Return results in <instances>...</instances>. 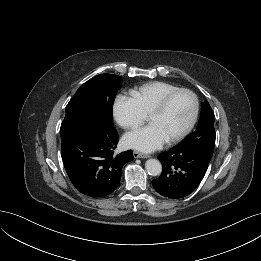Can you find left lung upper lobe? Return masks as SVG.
Instances as JSON below:
<instances>
[{
  "label": "left lung upper lobe",
  "mask_w": 261,
  "mask_h": 261,
  "mask_svg": "<svg viewBox=\"0 0 261 261\" xmlns=\"http://www.w3.org/2000/svg\"><path fill=\"white\" fill-rule=\"evenodd\" d=\"M214 113L207 101L202 103L199 123L194 133L188 135L178 145L199 149L213 155L215 146Z\"/></svg>",
  "instance_id": "1"
}]
</instances>
